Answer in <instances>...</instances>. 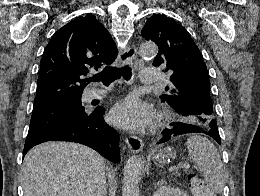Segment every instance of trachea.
<instances>
[{
  "instance_id": "3493384b",
  "label": "trachea",
  "mask_w": 260,
  "mask_h": 196,
  "mask_svg": "<svg viewBox=\"0 0 260 196\" xmlns=\"http://www.w3.org/2000/svg\"><path fill=\"white\" fill-rule=\"evenodd\" d=\"M121 76H123L125 80H130L132 76L131 68H129L127 65H125V67L122 68L108 66L104 68V70L100 73L93 75L89 80L102 81V83L105 86H109L110 83H112L115 80H118L119 78H121Z\"/></svg>"
}]
</instances>
